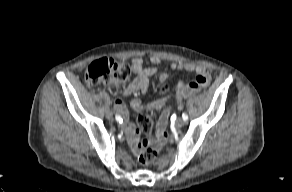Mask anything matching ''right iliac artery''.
<instances>
[{"instance_id":"1","label":"right iliac artery","mask_w":292,"mask_h":192,"mask_svg":"<svg viewBox=\"0 0 292 192\" xmlns=\"http://www.w3.org/2000/svg\"><path fill=\"white\" fill-rule=\"evenodd\" d=\"M116 120L118 122H125V119H122L119 115H116Z\"/></svg>"}]
</instances>
